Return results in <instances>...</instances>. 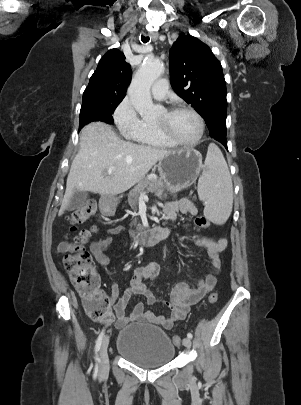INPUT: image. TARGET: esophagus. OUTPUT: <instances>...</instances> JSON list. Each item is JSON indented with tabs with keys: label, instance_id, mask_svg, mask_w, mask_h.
I'll return each mask as SVG.
<instances>
[{
	"label": "esophagus",
	"instance_id": "34e87169",
	"mask_svg": "<svg viewBox=\"0 0 301 405\" xmlns=\"http://www.w3.org/2000/svg\"><path fill=\"white\" fill-rule=\"evenodd\" d=\"M147 36L150 37V39L152 40H157L158 38V34L155 32L148 33Z\"/></svg>",
	"mask_w": 301,
	"mask_h": 405
}]
</instances>
